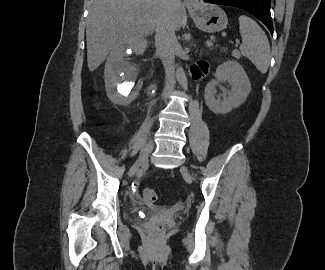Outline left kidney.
I'll list each match as a JSON object with an SVG mask.
<instances>
[{
    "label": "left kidney",
    "mask_w": 325,
    "mask_h": 270,
    "mask_svg": "<svg viewBox=\"0 0 325 270\" xmlns=\"http://www.w3.org/2000/svg\"><path fill=\"white\" fill-rule=\"evenodd\" d=\"M216 80L210 82L205 88V103L215 114H226L239 107L246 100L251 91L249 78L243 67L236 61H226L216 69ZM219 82H228L230 92L223 100L215 97V87Z\"/></svg>",
    "instance_id": "5707ae66"
}]
</instances>
